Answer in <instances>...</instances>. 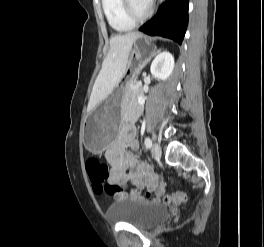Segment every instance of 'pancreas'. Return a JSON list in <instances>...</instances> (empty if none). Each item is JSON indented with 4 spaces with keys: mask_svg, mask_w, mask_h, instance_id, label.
Instances as JSON below:
<instances>
[{
    "mask_svg": "<svg viewBox=\"0 0 264 247\" xmlns=\"http://www.w3.org/2000/svg\"><path fill=\"white\" fill-rule=\"evenodd\" d=\"M141 91V88L139 86V83L136 79H131L126 86L125 90V98L127 101L130 99L133 102L134 106H137V95Z\"/></svg>",
    "mask_w": 264,
    "mask_h": 247,
    "instance_id": "pancreas-1",
    "label": "pancreas"
}]
</instances>
